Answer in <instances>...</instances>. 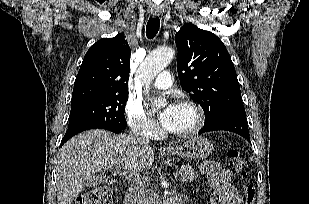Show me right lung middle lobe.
Segmentation results:
<instances>
[{"instance_id": "obj_1", "label": "right lung middle lobe", "mask_w": 309, "mask_h": 204, "mask_svg": "<svg viewBox=\"0 0 309 204\" xmlns=\"http://www.w3.org/2000/svg\"><path fill=\"white\" fill-rule=\"evenodd\" d=\"M128 93H112L71 103L68 128L87 122H97L125 129L124 111Z\"/></svg>"}]
</instances>
